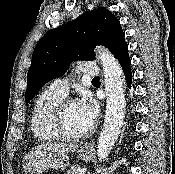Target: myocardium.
Wrapping results in <instances>:
<instances>
[{"label":"myocardium","mask_w":175,"mask_h":174,"mask_svg":"<svg viewBox=\"0 0 175 174\" xmlns=\"http://www.w3.org/2000/svg\"><path fill=\"white\" fill-rule=\"evenodd\" d=\"M78 103L74 98L63 99L54 109L52 114V126L55 132L61 139L69 141L82 140L88 137L94 130V125H91L88 130L80 134H72L68 132L64 125V114L67 107L71 104Z\"/></svg>","instance_id":"1"}]
</instances>
